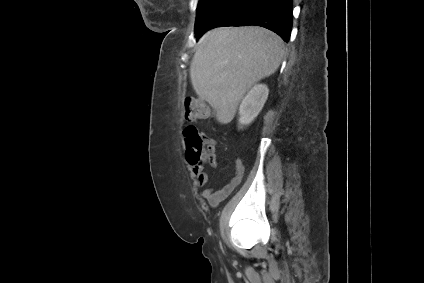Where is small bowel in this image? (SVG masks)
Masks as SVG:
<instances>
[{
    "mask_svg": "<svg viewBox=\"0 0 424 283\" xmlns=\"http://www.w3.org/2000/svg\"><path fill=\"white\" fill-rule=\"evenodd\" d=\"M188 164L191 170V173L194 176L195 184L198 187H204L209 183V176L204 171V166L202 163H192L188 160ZM245 173V166L240 158L235 160V172L231 179L225 184L222 188L215 190L213 188H205L201 191L200 195L202 198L206 199L210 206L216 207L223 200L232 194V192L239 186Z\"/></svg>",
    "mask_w": 424,
    "mask_h": 283,
    "instance_id": "obj_1",
    "label": "small bowel"
}]
</instances>
